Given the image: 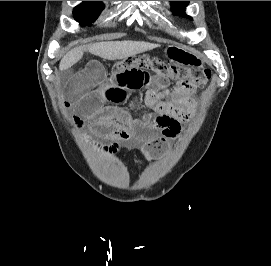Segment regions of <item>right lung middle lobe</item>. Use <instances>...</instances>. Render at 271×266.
<instances>
[{
	"mask_svg": "<svg viewBox=\"0 0 271 266\" xmlns=\"http://www.w3.org/2000/svg\"><path fill=\"white\" fill-rule=\"evenodd\" d=\"M103 8L101 1H84L74 8V19L80 22L81 26H91L90 23L97 19Z\"/></svg>",
	"mask_w": 271,
	"mask_h": 266,
	"instance_id": "dd1d6c3e",
	"label": "right lung middle lobe"
}]
</instances>
